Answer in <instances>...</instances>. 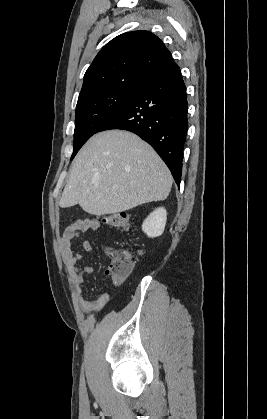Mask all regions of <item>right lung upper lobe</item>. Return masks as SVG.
<instances>
[{
  "label": "right lung upper lobe",
  "instance_id": "cb5924a9",
  "mask_svg": "<svg viewBox=\"0 0 267 419\" xmlns=\"http://www.w3.org/2000/svg\"><path fill=\"white\" fill-rule=\"evenodd\" d=\"M173 62L162 40L151 32L121 34L100 50L87 69L78 101L102 91L141 85Z\"/></svg>",
  "mask_w": 267,
  "mask_h": 419
}]
</instances>
